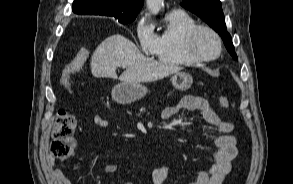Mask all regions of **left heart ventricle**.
<instances>
[{
  "mask_svg": "<svg viewBox=\"0 0 293 184\" xmlns=\"http://www.w3.org/2000/svg\"><path fill=\"white\" fill-rule=\"evenodd\" d=\"M196 52L202 56H213L218 51V44L216 39L208 32H200L194 43Z\"/></svg>",
  "mask_w": 293,
  "mask_h": 184,
  "instance_id": "obj_1",
  "label": "left heart ventricle"
}]
</instances>
